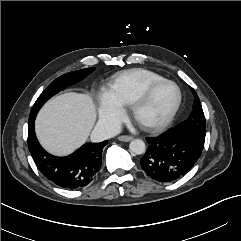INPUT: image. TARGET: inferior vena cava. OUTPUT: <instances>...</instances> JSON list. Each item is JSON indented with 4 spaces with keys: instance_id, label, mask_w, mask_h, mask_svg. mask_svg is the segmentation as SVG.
<instances>
[{
    "instance_id": "obj_1",
    "label": "inferior vena cava",
    "mask_w": 241,
    "mask_h": 241,
    "mask_svg": "<svg viewBox=\"0 0 241 241\" xmlns=\"http://www.w3.org/2000/svg\"><path fill=\"white\" fill-rule=\"evenodd\" d=\"M121 132V125L117 123H108L99 121L92 133L91 141L92 142H101L112 137H115Z\"/></svg>"
}]
</instances>
